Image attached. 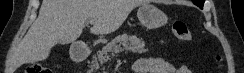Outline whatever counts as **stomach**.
<instances>
[{
  "label": "stomach",
  "instance_id": "1",
  "mask_svg": "<svg viewBox=\"0 0 244 73\" xmlns=\"http://www.w3.org/2000/svg\"><path fill=\"white\" fill-rule=\"evenodd\" d=\"M137 16L142 25L148 29H156L167 23L166 14L154 5L148 3L142 4L139 7Z\"/></svg>",
  "mask_w": 244,
  "mask_h": 73
}]
</instances>
